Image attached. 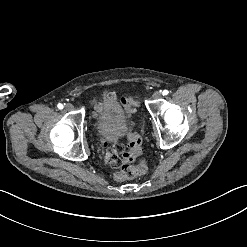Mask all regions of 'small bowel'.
<instances>
[{"mask_svg":"<svg viewBox=\"0 0 247 247\" xmlns=\"http://www.w3.org/2000/svg\"><path fill=\"white\" fill-rule=\"evenodd\" d=\"M107 98L113 100L115 95L110 93L107 95ZM93 105L95 108V115H98L103 109L108 113H113L115 111V106L110 102H105L103 104L100 101H93ZM108 135L115 145V147L110 150L109 142L104 134H99L97 136V141L100 143L102 165L108 169H113L119 164V159L116 156H119L124 151V148L129 146V140L127 138L121 139L120 135L117 133V117L115 115H110L108 117Z\"/></svg>","mask_w":247,"mask_h":247,"instance_id":"obj_1","label":"small bowel"}]
</instances>
